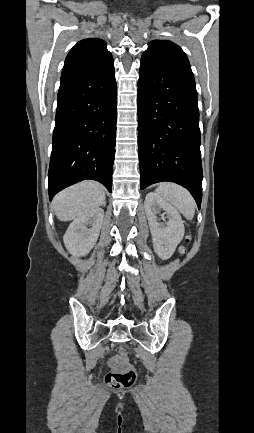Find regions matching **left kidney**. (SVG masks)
<instances>
[{"label": "left kidney", "mask_w": 254, "mask_h": 433, "mask_svg": "<svg viewBox=\"0 0 254 433\" xmlns=\"http://www.w3.org/2000/svg\"><path fill=\"white\" fill-rule=\"evenodd\" d=\"M144 206L154 251L162 260H167L172 256L184 236L185 229L182 218L173 206L154 192L146 195ZM161 209L165 211L169 218L166 227H163L157 221L156 214Z\"/></svg>", "instance_id": "obj_1"}]
</instances>
